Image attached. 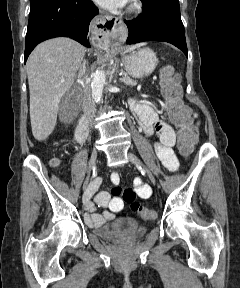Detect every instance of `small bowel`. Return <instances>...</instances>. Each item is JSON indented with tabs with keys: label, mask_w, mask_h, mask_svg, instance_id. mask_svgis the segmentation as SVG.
Masks as SVG:
<instances>
[{
	"label": "small bowel",
	"mask_w": 240,
	"mask_h": 288,
	"mask_svg": "<svg viewBox=\"0 0 240 288\" xmlns=\"http://www.w3.org/2000/svg\"><path fill=\"white\" fill-rule=\"evenodd\" d=\"M131 107L137 115L138 125L149 137L156 134L158 142L155 143V151L161 163L170 171L177 170L179 163L174 154L173 146L175 144V132L172 127L161 117L156 104L141 103L137 100H131ZM196 129V128H195ZM111 181L115 187L111 192L102 191L96 195V203L106 210L102 214L94 213V204L91 199L100 186V179L95 180L89 187L84 196L83 204L86 209L85 221L89 226L98 227L103 223L114 218V213L122 210L123 200L120 197L121 189L118 186L120 175L114 172L111 175ZM134 192L142 199L151 196V187L144 183L141 178L136 177L133 181Z\"/></svg>",
	"instance_id": "1"
}]
</instances>
